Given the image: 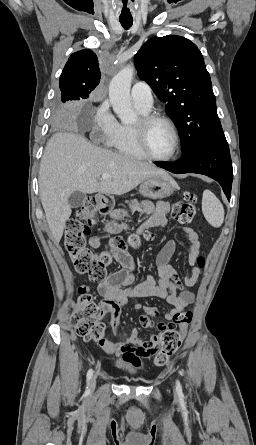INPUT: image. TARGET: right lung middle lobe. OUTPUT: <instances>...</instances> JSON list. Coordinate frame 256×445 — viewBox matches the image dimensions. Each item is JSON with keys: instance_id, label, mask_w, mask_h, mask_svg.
Instances as JSON below:
<instances>
[{"instance_id": "1", "label": "right lung middle lobe", "mask_w": 256, "mask_h": 445, "mask_svg": "<svg viewBox=\"0 0 256 445\" xmlns=\"http://www.w3.org/2000/svg\"><path fill=\"white\" fill-rule=\"evenodd\" d=\"M61 100H62L63 104L54 113V118L58 121H62L67 117L69 102L73 101V100H77V99H75L74 97L67 95V94H61Z\"/></svg>"}]
</instances>
